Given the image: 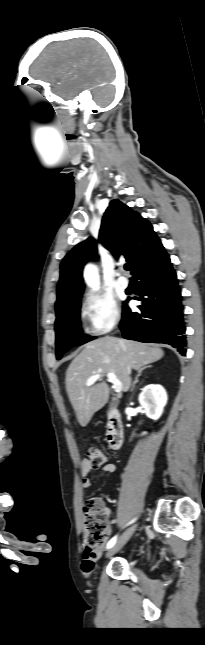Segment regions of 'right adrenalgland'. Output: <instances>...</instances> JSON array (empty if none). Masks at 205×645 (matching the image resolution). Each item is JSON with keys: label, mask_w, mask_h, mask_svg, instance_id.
Instances as JSON below:
<instances>
[{"label": "right adrenal gland", "mask_w": 205, "mask_h": 645, "mask_svg": "<svg viewBox=\"0 0 205 645\" xmlns=\"http://www.w3.org/2000/svg\"><path fill=\"white\" fill-rule=\"evenodd\" d=\"M150 367H151V366H146L145 368L140 369V370L138 371V374H137V376L135 377V380H134V382H133V386H132L131 391H133V390H134V388H135L136 384L139 382V377L142 375V371H143L144 369H146V368H150Z\"/></svg>", "instance_id": "1"}]
</instances>
